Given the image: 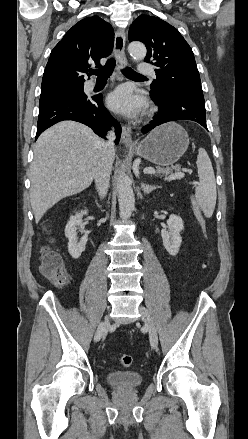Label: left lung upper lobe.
Returning <instances> with one entry per match:
<instances>
[{
  "label": "left lung upper lobe",
  "instance_id": "1",
  "mask_svg": "<svg viewBox=\"0 0 248 439\" xmlns=\"http://www.w3.org/2000/svg\"><path fill=\"white\" fill-rule=\"evenodd\" d=\"M129 41L143 42L147 48L145 62L157 67L151 95L158 99L188 96L204 100L193 51L175 27L160 18L140 15L129 29Z\"/></svg>",
  "mask_w": 248,
  "mask_h": 439
}]
</instances>
